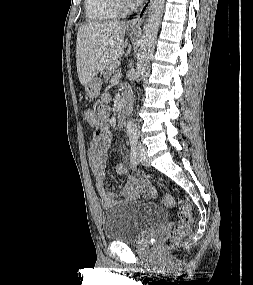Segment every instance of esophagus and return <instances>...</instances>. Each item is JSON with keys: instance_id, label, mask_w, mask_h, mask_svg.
Segmentation results:
<instances>
[{"instance_id": "1", "label": "esophagus", "mask_w": 253, "mask_h": 285, "mask_svg": "<svg viewBox=\"0 0 253 285\" xmlns=\"http://www.w3.org/2000/svg\"><path fill=\"white\" fill-rule=\"evenodd\" d=\"M152 3V0H147L143 7L139 10L137 15L129 22V29L133 31H140L142 23L148 12V9Z\"/></svg>"}]
</instances>
